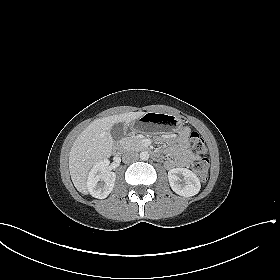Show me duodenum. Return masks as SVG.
I'll use <instances>...</instances> for the list:
<instances>
[{
	"mask_svg": "<svg viewBox=\"0 0 280 280\" xmlns=\"http://www.w3.org/2000/svg\"><path fill=\"white\" fill-rule=\"evenodd\" d=\"M122 149H123V143L118 144L117 147H116V150H117V151H121ZM151 156H152L154 159H157V160H159V159L162 158V155H161L160 153L154 152V151L151 152Z\"/></svg>",
	"mask_w": 280,
	"mask_h": 280,
	"instance_id": "obj_1",
	"label": "duodenum"
}]
</instances>
